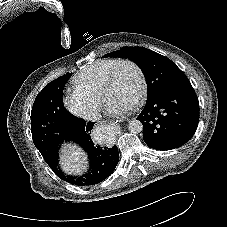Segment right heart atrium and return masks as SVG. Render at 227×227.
I'll list each match as a JSON object with an SVG mask.
<instances>
[{"label": "right heart atrium", "mask_w": 227, "mask_h": 227, "mask_svg": "<svg viewBox=\"0 0 227 227\" xmlns=\"http://www.w3.org/2000/svg\"><path fill=\"white\" fill-rule=\"evenodd\" d=\"M63 102L70 113L84 119H96L101 106L100 97L75 89L65 93Z\"/></svg>", "instance_id": "d8ad5b80"}]
</instances>
